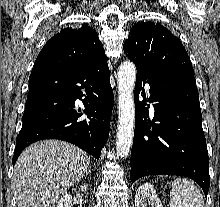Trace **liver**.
<instances>
[{
  "instance_id": "liver-1",
  "label": "liver",
  "mask_w": 220,
  "mask_h": 207,
  "mask_svg": "<svg viewBox=\"0 0 220 207\" xmlns=\"http://www.w3.org/2000/svg\"><path fill=\"white\" fill-rule=\"evenodd\" d=\"M88 155L60 140H43L19 156L13 175L18 207H55L57 200L87 172Z\"/></svg>"
}]
</instances>
